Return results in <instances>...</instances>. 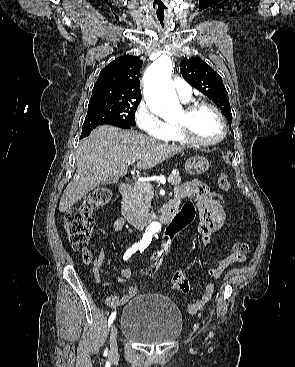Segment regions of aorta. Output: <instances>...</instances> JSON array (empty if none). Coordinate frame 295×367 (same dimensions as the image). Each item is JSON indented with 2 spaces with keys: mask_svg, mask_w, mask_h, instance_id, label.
<instances>
[{
  "mask_svg": "<svg viewBox=\"0 0 295 367\" xmlns=\"http://www.w3.org/2000/svg\"><path fill=\"white\" fill-rule=\"evenodd\" d=\"M172 61L168 56H162L153 62L144 75V95L150 110L163 118H171L181 112L177 94L171 82ZM158 222L151 223L143 236L150 242L159 230Z\"/></svg>",
  "mask_w": 295,
  "mask_h": 367,
  "instance_id": "obj_1",
  "label": "aorta"
}]
</instances>
